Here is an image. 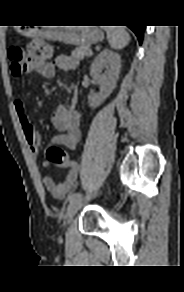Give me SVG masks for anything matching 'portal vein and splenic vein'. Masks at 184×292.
<instances>
[{
  "mask_svg": "<svg viewBox=\"0 0 184 292\" xmlns=\"http://www.w3.org/2000/svg\"><path fill=\"white\" fill-rule=\"evenodd\" d=\"M92 54H93V52L90 50V51H89V55H92Z\"/></svg>",
  "mask_w": 184,
  "mask_h": 292,
  "instance_id": "1",
  "label": "portal vein and splenic vein"
}]
</instances>
